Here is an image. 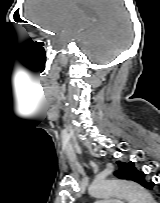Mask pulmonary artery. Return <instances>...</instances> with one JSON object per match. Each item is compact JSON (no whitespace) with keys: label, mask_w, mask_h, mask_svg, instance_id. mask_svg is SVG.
<instances>
[{"label":"pulmonary artery","mask_w":160,"mask_h":203,"mask_svg":"<svg viewBox=\"0 0 160 203\" xmlns=\"http://www.w3.org/2000/svg\"><path fill=\"white\" fill-rule=\"evenodd\" d=\"M95 203H123L120 200H111V201H97Z\"/></svg>","instance_id":"e3ab8cb5"}]
</instances>
